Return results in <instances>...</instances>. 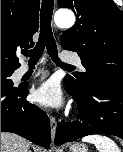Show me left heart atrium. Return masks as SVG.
<instances>
[{"label": "left heart atrium", "mask_w": 123, "mask_h": 152, "mask_svg": "<svg viewBox=\"0 0 123 152\" xmlns=\"http://www.w3.org/2000/svg\"><path fill=\"white\" fill-rule=\"evenodd\" d=\"M34 97L40 105L49 108H60L64 103L60 86L55 79L43 82L36 89Z\"/></svg>", "instance_id": "left-heart-atrium-1"}]
</instances>
